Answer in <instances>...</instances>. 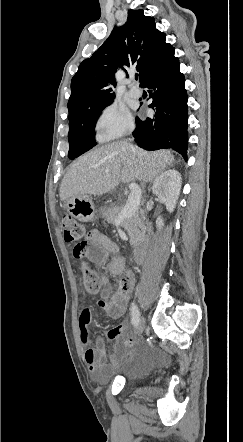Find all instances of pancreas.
Returning a JSON list of instances; mask_svg holds the SVG:
<instances>
[{
    "label": "pancreas",
    "mask_w": 243,
    "mask_h": 442,
    "mask_svg": "<svg viewBox=\"0 0 243 442\" xmlns=\"http://www.w3.org/2000/svg\"><path fill=\"white\" fill-rule=\"evenodd\" d=\"M123 208L124 207H107L104 209L102 215L108 222L115 223L119 221L118 217ZM120 226L127 231L131 244L136 245L141 237V230L143 228L138 212L135 211L132 216L121 219Z\"/></svg>",
    "instance_id": "obj_1"
}]
</instances>
